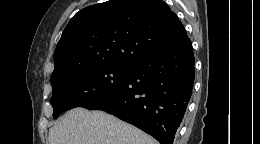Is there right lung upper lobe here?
<instances>
[{
  "mask_svg": "<svg viewBox=\"0 0 260 144\" xmlns=\"http://www.w3.org/2000/svg\"><path fill=\"white\" fill-rule=\"evenodd\" d=\"M188 38L160 0H110L76 13L54 52L52 77L97 65L130 67Z\"/></svg>",
  "mask_w": 260,
  "mask_h": 144,
  "instance_id": "right-lung-upper-lobe-1",
  "label": "right lung upper lobe"
}]
</instances>
